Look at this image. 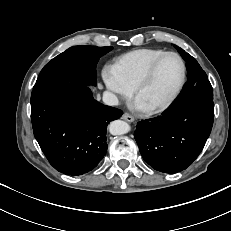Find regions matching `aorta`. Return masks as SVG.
Listing matches in <instances>:
<instances>
[{
  "label": "aorta",
  "mask_w": 231,
  "mask_h": 231,
  "mask_svg": "<svg viewBox=\"0 0 231 231\" xmlns=\"http://www.w3.org/2000/svg\"><path fill=\"white\" fill-rule=\"evenodd\" d=\"M130 125L122 120H114L109 125V132L112 135H123L130 131Z\"/></svg>",
  "instance_id": "762f6f07"
}]
</instances>
